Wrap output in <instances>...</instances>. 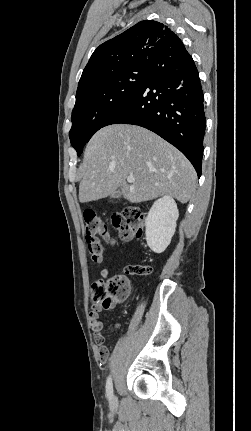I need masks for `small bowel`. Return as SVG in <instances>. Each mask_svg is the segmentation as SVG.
I'll return each instance as SVG.
<instances>
[{
	"instance_id": "obj_1",
	"label": "small bowel",
	"mask_w": 251,
	"mask_h": 431,
	"mask_svg": "<svg viewBox=\"0 0 251 431\" xmlns=\"http://www.w3.org/2000/svg\"><path fill=\"white\" fill-rule=\"evenodd\" d=\"M151 272V268L145 267V273L142 275L149 274ZM109 274L108 269L101 270V276L103 278H107ZM102 307L94 305L90 312V324L91 328L94 331V340L99 345V350L97 352V357L100 360V367H105V362H109L110 360V351L111 348L108 345L103 346L104 336L102 334L104 329L103 322L99 319V313L102 311Z\"/></svg>"
}]
</instances>
